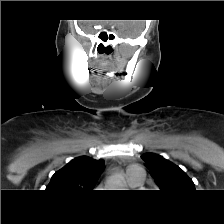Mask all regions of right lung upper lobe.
<instances>
[{
	"instance_id": "obj_1",
	"label": "right lung upper lobe",
	"mask_w": 224,
	"mask_h": 224,
	"mask_svg": "<svg viewBox=\"0 0 224 224\" xmlns=\"http://www.w3.org/2000/svg\"><path fill=\"white\" fill-rule=\"evenodd\" d=\"M104 160L81 156L55 172L48 189L57 192L91 191L103 172Z\"/></svg>"
}]
</instances>
